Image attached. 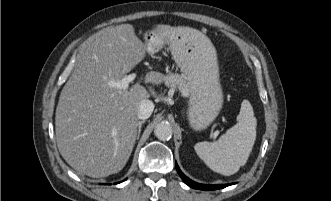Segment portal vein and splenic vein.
Segmentation results:
<instances>
[{"label":"portal vein and splenic vein","instance_id":"portal-vein-and-splenic-vein-1","mask_svg":"<svg viewBox=\"0 0 331 201\" xmlns=\"http://www.w3.org/2000/svg\"><path fill=\"white\" fill-rule=\"evenodd\" d=\"M135 78H136V74L132 73V74L126 75L121 80L110 81L109 85L112 87L121 89V90H126V89H128L129 83L132 82Z\"/></svg>","mask_w":331,"mask_h":201}]
</instances>
